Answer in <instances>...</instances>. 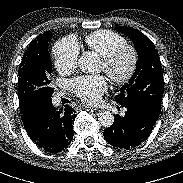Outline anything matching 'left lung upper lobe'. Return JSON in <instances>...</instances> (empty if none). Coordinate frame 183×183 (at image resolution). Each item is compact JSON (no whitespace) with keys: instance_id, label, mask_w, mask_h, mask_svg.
<instances>
[{"instance_id":"5c2ea615","label":"left lung upper lobe","mask_w":183,"mask_h":183,"mask_svg":"<svg viewBox=\"0 0 183 183\" xmlns=\"http://www.w3.org/2000/svg\"><path fill=\"white\" fill-rule=\"evenodd\" d=\"M116 30L133 40L138 53L136 71L115 96L122 106L136 105L159 117L163 96V73L160 57L151 40L132 27L116 26Z\"/></svg>"}]
</instances>
